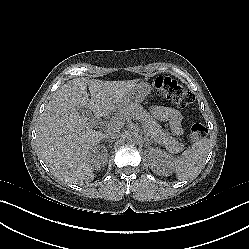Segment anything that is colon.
<instances>
[{
    "mask_svg": "<svg viewBox=\"0 0 249 249\" xmlns=\"http://www.w3.org/2000/svg\"><path fill=\"white\" fill-rule=\"evenodd\" d=\"M155 88L180 108H186L195 102V96L178 81L169 77H158L154 81ZM207 131L201 124H195L191 128L189 138L198 140L206 135Z\"/></svg>",
    "mask_w": 249,
    "mask_h": 249,
    "instance_id": "colon-1",
    "label": "colon"
}]
</instances>
